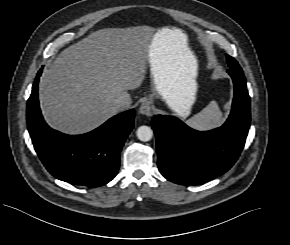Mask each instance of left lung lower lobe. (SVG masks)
<instances>
[{
  "mask_svg": "<svg viewBox=\"0 0 290 245\" xmlns=\"http://www.w3.org/2000/svg\"><path fill=\"white\" fill-rule=\"evenodd\" d=\"M227 72L234 83V99L223 126L200 132L174 116L152 119L158 168L168 180L199 185L222 175L238 159L250 127V97L242 69L229 67Z\"/></svg>",
  "mask_w": 290,
  "mask_h": 245,
  "instance_id": "0a47b994",
  "label": "left lung lower lobe"
}]
</instances>
